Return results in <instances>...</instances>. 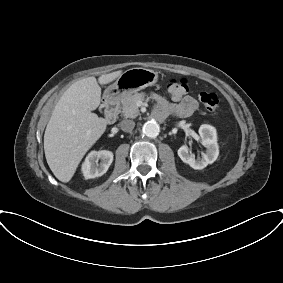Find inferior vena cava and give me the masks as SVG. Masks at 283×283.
Here are the masks:
<instances>
[{"label":"inferior vena cava","mask_w":283,"mask_h":283,"mask_svg":"<svg viewBox=\"0 0 283 283\" xmlns=\"http://www.w3.org/2000/svg\"><path fill=\"white\" fill-rule=\"evenodd\" d=\"M135 127L133 120H123L120 122V128L125 132H131Z\"/></svg>","instance_id":"obj_1"}]
</instances>
